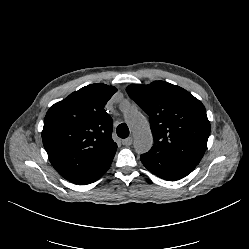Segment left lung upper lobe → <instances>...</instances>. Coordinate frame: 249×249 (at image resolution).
Segmentation results:
<instances>
[{
  "label": "left lung upper lobe",
  "instance_id": "1",
  "mask_svg": "<svg viewBox=\"0 0 249 249\" xmlns=\"http://www.w3.org/2000/svg\"><path fill=\"white\" fill-rule=\"evenodd\" d=\"M126 91L149 115L154 144L148 154L197 166L210 134L204 105L188 91L164 81L132 84Z\"/></svg>",
  "mask_w": 249,
  "mask_h": 249
}]
</instances>
